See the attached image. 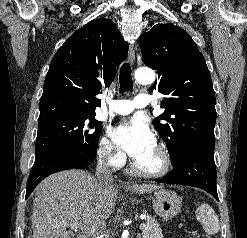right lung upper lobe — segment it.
<instances>
[{
  "mask_svg": "<svg viewBox=\"0 0 247 238\" xmlns=\"http://www.w3.org/2000/svg\"><path fill=\"white\" fill-rule=\"evenodd\" d=\"M128 43L108 19H94L74 32L53 57L40 100L39 123L95 115L102 85H110L126 59Z\"/></svg>",
  "mask_w": 247,
  "mask_h": 238,
  "instance_id": "1",
  "label": "right lung upper lobe"
}]
</instances>
